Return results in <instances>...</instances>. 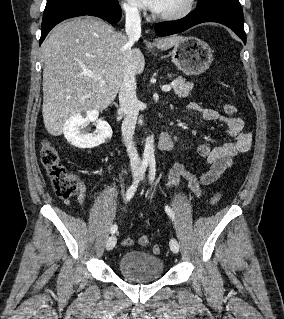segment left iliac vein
I'll list each match as a JSON object with an SVG mask.
<instances>
[{
	"label": "left iliac vein",
	"instance_id": "left-iliac-vein-1",
	"mask_svg": "<svg viewBox=\"0 0 284 319\" xmlns=\"http://www.w3.org/2000/svg\"><path fill=\"white\" fill-rule=\"evenodd\" d=\"M169 246L173 253L179 252V243L175 238L170 239Z\"/></svg>",
	"mask_w": 284,
	"mask_h": 319
}]
</instances>
